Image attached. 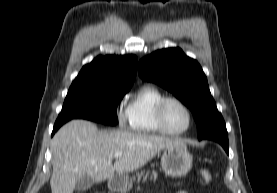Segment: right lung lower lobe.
<instances>
[{
    "mask_svg": "<svg viewBox=\"0 0 277 193\" xmlns=\"http://www.w3.org/2000/svg\"><path fill=\"white\" fill-rule=\"evenodd\" d=\"M64 123H66V122H55V125L53 127L52 136Z\"/></svg>",
    "mask_w": 277,
    "mask_h": 193,
    "instance_id": "right-lung-lower-lobe-1",
    "label": "right lung lower lobe"
}]
</instances>
